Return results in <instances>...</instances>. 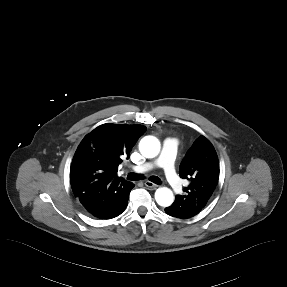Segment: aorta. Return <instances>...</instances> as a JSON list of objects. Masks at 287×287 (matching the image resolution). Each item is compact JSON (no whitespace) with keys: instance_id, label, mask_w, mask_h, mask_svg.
Masks as SVG:
<instances>
[{"instance_id":"762f6f07","label":"aorta","mask_w":287,"mask_h":287,"mask_svg":"<svg viewBox=\"0 0 287 287\" xmlns=\"http://www.w3.org/2000/svg\"><path fill=\"white\" fill-rule=\"evenodd\" d=\"M139 150L146 158H154L160 152V142L154 136H145L139 143ZM155 200L162 207L170 206L174 201L173 192L167 187L158 188L155 192Z\"/></svg>"}]
</instances>
